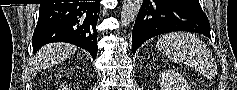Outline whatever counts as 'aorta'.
I'll return each instance as SVG.
<instances>
[{
  "label": "aorta",
  "mask_w": 237,
  "mask_h": 90,
  "mask_svg": "<svg viewBox=\"0 0 237 90\" xmlns=\"http://www.w3.org/2000/svg\"><path fill=\"white\" fill-rule=\"evenodd\" d=\"M142 4L143 0H124L120 14V24L123 28L135 22Z\"/></svg>",
  "instance_id": "762f6f07"
}]
</instances>
